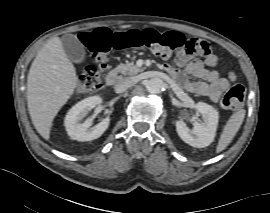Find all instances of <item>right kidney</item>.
Here are the masks:
<instances>
[{
    "label": "right kidney",
    "mask_w": 270,
    "mask_h": 213,
    "mask_svg": "<svg viewBox=\"0 0 270 213\" xmlns=\"http://www.w3.org/2000/svg\"><path fill=\"white\" fill-rule=\"evenodd\" d=\"M102 103L99 96L85 98L74 105L67 113L64 125L71 139L77 141H91L99 138L108 128L110 118H104L99 124L90 127L93 119L81 122L86 113Z\"/></svg>",
    "instance_id": "obj_1"
}]
</instances>
